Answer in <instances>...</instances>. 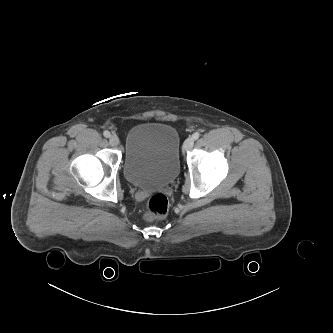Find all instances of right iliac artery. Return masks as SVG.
Instances as JSON below:
<instances>
[{
  "mask_svg": "<svg viewBox=\"0 0 333 333\" xmlns=\"http://www.w3.org/2000/svg\"><path fill=\"white\" fill-rule=\"evenodd\" d=\"M103 135H104L106 138H108V137L111 136L110 132L107 131V130L103 132Z\"/></svg>",
  "mask_w": 333,
  "mask_h": 333,
  "instance_id": "1",
  "label": "right iliac artery"
}]
</instances>
